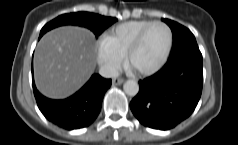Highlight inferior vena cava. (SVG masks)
Masks as SVG:
<instances>
[{"label":"inferior vena cava","instance_id":"obj_1","mask_svg":"<svg viewBox=\"0 0 238 145\" xmlns=\"http://www.w3.org/2000/svg\"><path fill=\"white\" fill-rule=\"evenodd\" d=\"M99 74L105 78H116L119 75L116 68L108 65L101 66L99 69Z\"/></svg>","mask_w":238,"mask_h":145}]
</instances>
